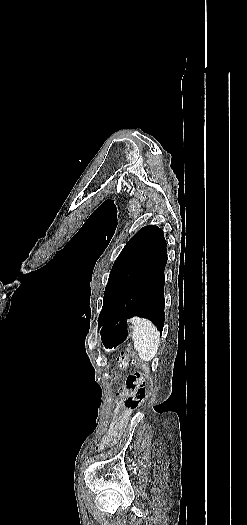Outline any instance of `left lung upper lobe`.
<instances>
[{"mask_svg": "<svg viewBox=\"0 0 247 525\" xmlns=\"http://www.w3.org/2000/svg\"><path fill=\"white\" fill-rule=\"evenodd\" d=\"M163 240V231L155 225H148L127 242L111 269L98 319L99 325L109 309L148 267Z\"/></svg>", "mask_w": 247, "mask_h": 525, "instance_id": "obj_1", "label": "left lung upper lobe"}]
</instances>
